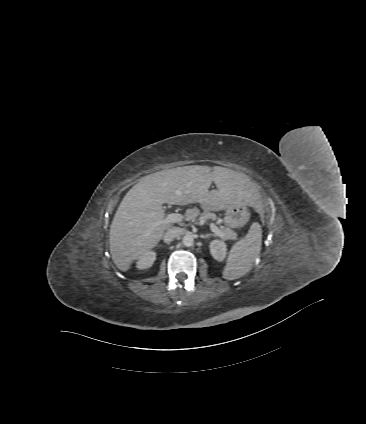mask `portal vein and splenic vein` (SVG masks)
Instances as JSON below:
<instances>
[{
    "mask_svg": "<svg viewBox=\"0 0 366 424\" xmlns=\"http://www.w3.org/2000/svg\"><path fill=\"white\" fill-rule=\"evenodd\" d=\"M184 216L180 213H170L167 214L166 218L163 219L160 224H173L183 221ZM210 229L212 232H214L216 235L222 237L224 236L221 230L213 223L210 224Z\"/></svg>",
    "mask_w": 366,
    "mask_h": 424,
    "instance_id": "1",
    "label": "portal vein and splenic vein"
}]
</instances>
